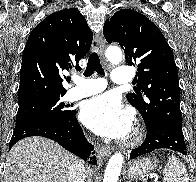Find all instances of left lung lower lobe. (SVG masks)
Returning a JSON list of instances; mask_svg holds the SVG:
<instances>
[{"label": "left lung lower lobe", "mask_w": 196, "mask_h": 182, "mask_svg": "<svg viewBox=\"0 0 196 182\" xmlns=\"http://www.w3.org/2000/svg\"><path fill=\"white\" fill-rule=\"evenodd\" d=\"M147 135L145 141L138 148L133 149L130 159L152 152L155 149L166 148L182 155L187 154L184 135L181 129L163 122L155 121L146 124Z\"/></svg>", "instance_id": "0a47b994"}]
</instances>
